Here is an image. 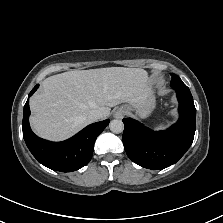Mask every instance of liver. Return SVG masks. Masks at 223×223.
Instances as JSON below:
<instances>
[{
  "label": "liver",
  "mask_w": 223,
  "mask_h": 223,
  "mask_svg": "<svg viewBox=\"0 0 223 223\" xmlns=\"http://www.w3.org/2000/svg\"><path fill=\"white\" fill-rule=\"evenodd\" d=\"M42 86L30 100V124L38 136L60 141L90 124L92 110L102 111L106 118L110 107L143 101L152 82L144 69L110 67L53 75Z\"/></svg>",
  "instance_id": "1"
}]
</instances>
